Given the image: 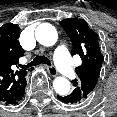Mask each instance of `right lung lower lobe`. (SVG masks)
Wrapping results in <instances>:
<instances>
[{"instance_id": "1", "label": "right lung lower lobe", "mask_w": 117, "mask_h": 117, "mask_svg": "<svg viewBox=\"0 0 117 117\" xmlns=\"http://www.w3.org/2000/svg\"><path fill=\"white\" fill-rule=\"evenodd\" d=\"M25 87H26V80L19 86L15 94L4 103L6 105H16L24 96Z\"/></svg>"}]
</instances>
